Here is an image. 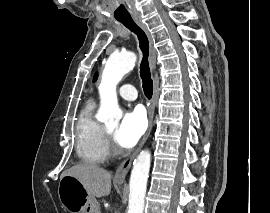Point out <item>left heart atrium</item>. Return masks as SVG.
<instances>
[{"instance_id":"39dd6f15","label":"left heart atrium","mask_w":270,"mask_h":213,"mask_svg":"<svg viewBox=\"0 0 270 213\" xmlns=\"http://www.w3.org/2000/svg\"><path fill=\"white\" fill-rule=\"evenodd\" d=\"M147 122L142 110L136 108L127 111L115 131V141L123 149L137 144L146 130Z\"/></svg>"}]
</instances>
